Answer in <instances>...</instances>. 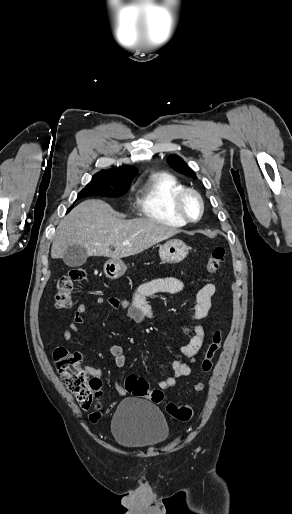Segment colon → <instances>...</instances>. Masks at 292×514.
I'll return each instance as SVG.
<instances>
[{"label": "colon", "instance_id": "5ec220e1", "mask_svg": "<svg viewBox=\"0 0 292 514\" xmlns=\"http://www.w3.org/2000/svg\"><path fill=\"white\" fill-rule=\"evenodd\" d=\"M226 250L221 246H216L209 255L205 270L208 273L216 272L223 263ZM86 278L85 273L80 269L70 270L66 275L60 277L56 282L55 303L58 309H68L72 304L74 287L77 283ZM223 340L222 329L214 331L211 339L206 344L204 355L201 360V370L203 374H208L213 367V359L218 353ZM53 359L56 365L57 374L63 378L66 388L74 395L78 404L89 409L94 406L100 407L101 380L98 377H89L83 366L81 353L69 351L64 347H56L53 351ZM196 391H203L205 386L202 382L195 384ZM124 388L138 399L150 400L157 404H164L165 410L176 420L186 421L193 415L191 405H178L173 402L165 401L164 393L161 389L151 388L147 379L143 376L134 374L128 375L124 380ZM90 420L98 419L97 411L89 412Z\"/></svg>", "mask_w": 292, "mask_h": 514}]
</instances>
